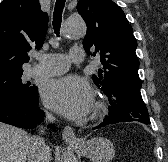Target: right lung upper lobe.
Returning a JSON list of instances; mask_svg holds the SVG:
<instances>
[{
    "instance_id": "obj_1",
    "label": "right lung upper lobe",
    "mask_w": 168,
    "mask_h": 162,
    "mask_svg": "<svg viewBox=\"0 0 168 162\" xmlns=\"http://www.w3.org/2000/svg\"><path fill=\"white\" fill-rule=\"evenodd\" d=\"M48 15L38 0H4L0 4V75L23 72L27 52L42 47Z\"/></svg>"
}]
</instances>
